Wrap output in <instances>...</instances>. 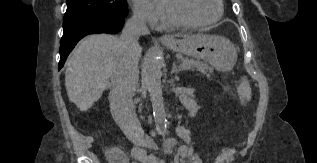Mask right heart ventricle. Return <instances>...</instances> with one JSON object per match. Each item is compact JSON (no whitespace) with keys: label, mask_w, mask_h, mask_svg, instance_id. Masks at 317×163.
I'll list each match as a JSON object with an SVG mask.
<instances>
[{"label":"right heart ventricle","mask_w":317,"mask_h":163,"mask_svg":"<svg viewBox=\"0 0 317 163\" xmlns=\"http://www.w3.org/2000/svg\"><path fill=\"white\" fill-rule=\"evenodd\" d=\"M159 24L161 27H165V28H171V27H174L176 25L172 24L166 17L165 13H164V10H163V13H162V16H161V19L159 21Z\"/></svg>","instance_id":"right-heart-ventricle-1"}]
</instances>
